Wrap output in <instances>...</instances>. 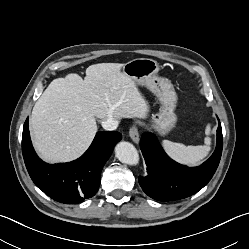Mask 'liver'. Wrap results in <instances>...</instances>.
<instances>
[{"instance_id": "1", "label": "liver", "mask_w": 249, "mask_h": 249, "mask_svg": "<svg viewBox=\"0 0 249 249\" xmlns=\"http://www.w3.org/2000/svg\"><path fill=\"white\" fill-rule=\"evenodd\" d=\"M124 64L89 66L78 74L54 79L35 103L30 131L39 156L48 162L80 157L97 132L96 118H145L149 106L135 82L125 75Z\"/></svg>"}]
</instances>
